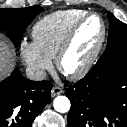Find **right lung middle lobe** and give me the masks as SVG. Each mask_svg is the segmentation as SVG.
<instances>
[{
  "instance_id": "1",
  "label": "right lung middle lobe",
  "mask_w": 127,
  "mask_h": 127,
  "mask_svg": "<svg viewBox=\"0 0 127 127\" xmlns=\"http://www.w3.org/2000/svg\"><path fill=\"white\" fill-rule=\"evenodd\" d=\"M44 9L38 5L26 8H0V31L6 30L21 36L36 15Z\"/></svg>"
}]
</instances>
